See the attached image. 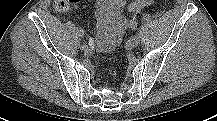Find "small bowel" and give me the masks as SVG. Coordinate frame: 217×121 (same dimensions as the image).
I'll use <instances>...</instances> for the list:
<instances>
[{
	"label": "small bowel",
	"mask_w": 217,
	"mask_h": 121,
	"mask_svg": "<svg viewBox=\"0 0 217 121\" xmlns=\"http://www.w3.org/2000/svg\"><path fill=\"white\" fill-rule=\"evenodd\" d=\"M154 0H96L95 15L97 19L98 49L108 52L118 46L127 30H135L138 26L136 14L150 7ZM131 13L125 17V7Z\"/></svg>",
	"instance_id": "small-bowel-1"
}]
</instances>
